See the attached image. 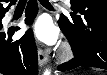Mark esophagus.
Here are the masks:
<instances>
[{
    "instance_id": "1",
    "label": "esophagus",
    "mask_w": 107,
    "mask_h": 75,
    "mask_svg": "<svg viewBox=\"0 0 107 75\" xmlns=\"http://www.w3.org/2000/svg\"><path fill=\"white\" fill-rule=\"evenodd\" d=\"M38 61L40 67H44L48 63V55L41 48H38Z\"/></svg>"
}]
</instances>
